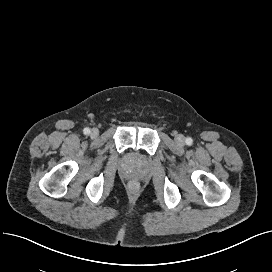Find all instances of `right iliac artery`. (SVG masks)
I'll use <instances>...</instances> for the list:
<instances>
[{
	"label": "right iliac artery",
	"instance_id": "obj_1",
	"mask_svg": "<svg viewBox=\"0 0 272 272\" xmlns=\"http://www.w3.org/2000/svg\"><path fill=\"white\" fill-rule=\"evenodd\" d=\"M83 132H84L85 135H88L90 133V129L89 128H85L83 130Z\"/></svg>",
	"mask_w": 272,
	"mask_h": 272
}]
</instances>
